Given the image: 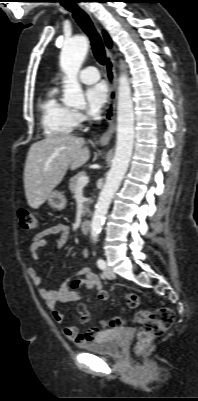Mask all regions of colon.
<instances>
[{"instance_id":"colon-1","label":"colon","mask_w":198,"mask_h":401,"mask_svg":"<svg viewBox=\"0 0 198 401\" xmlns=\"http://www.w3.org/2000/svg\"><path fill=\"white\" fill-rule=\"evenodd\" d=\"M18 219L20 227L23 230L33 231L38 228L37 217L28 210H20L18 212ZM125 300L127 305L132 309L138 308L140 305V298L135 293L126 294ZM78 313L83 321L87 320L86 310L79 308ZM135 319L140 323L135 353L142 355L147 352L152 341L160 337L172 326L174 313L168 307H160L154 311L141 309L136 313ZM105 324L110 328H121L125 325V320L121 317H113L105 320Z\"/></svg>"}]
</instances>
